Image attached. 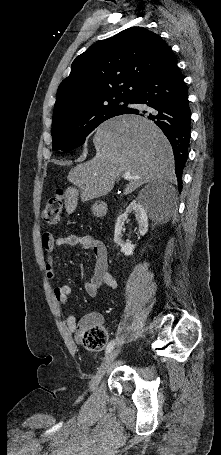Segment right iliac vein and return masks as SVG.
Here are the masks:
<instances>
[{"label":"right iliac vein","mask_w":221,"mask_h":455,"mask_svg":"<svg viewBox=\"0 0 221 455\" xmlns=\"http://www.w3.org/2000/svg\"><path fill=\"white\" fill-rule=\"evenodd\" d=\"M121 347L116 348L115 350L111 351L103 360L101 366L97 370L95 376L92 378L89 384V389L90 390H95L98 387L99 382L107 372L109 366L112 364V362L116 359L118 354L120 353Z\"/></svg>","instance_id":"1"}]
</instances>
